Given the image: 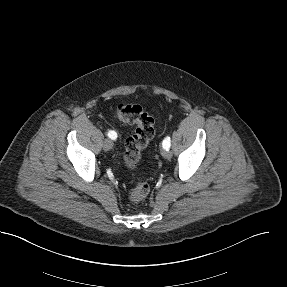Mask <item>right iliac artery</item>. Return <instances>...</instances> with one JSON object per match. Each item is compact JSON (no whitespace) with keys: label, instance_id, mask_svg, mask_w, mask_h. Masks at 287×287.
<instances>
[{"label":"right iliac artery","instance_id":"right-iliac-artery-1","mask_svg":"<svg viewBox=\"0 0 287 287\" xmlns=\"http://www.w3.org/2000/svg\"><path fill=\"white\" fill-rule=\"evenodd\" d=\"M108 137L111 138L112 140L116 139L117 138V134L115 131H109L108 132Z\"/></svg>","mask_w":287,"mask_h":287}]
</instances>
